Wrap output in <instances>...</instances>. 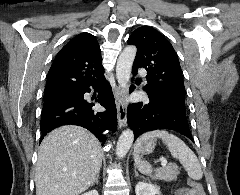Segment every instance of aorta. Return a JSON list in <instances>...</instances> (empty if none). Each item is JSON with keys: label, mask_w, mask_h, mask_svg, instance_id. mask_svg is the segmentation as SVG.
<instances>
[{"label": "aorta", "mask_w": 240, "mask_h": 195, "mask_svg": "<svg viewBox=\"0 0 240 195\" xmlns=\"http://www.w3.org/2000/svg\"><path fill=\"white\" fill-rule=\"evenodd\" d=\"M136 52V46H127V48H124L123 52H121L117 60L116 76L121 88H127ZM133 139L134 133L132 129H124V131H122L116 145L118 159L126 155L133 143Z\"/></svg>", "instance_id": "obj_1"}]
</instances>
